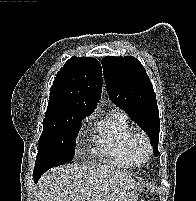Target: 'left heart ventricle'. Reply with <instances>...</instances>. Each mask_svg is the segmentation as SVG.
Wrapping results in <instances>:
<instances>
[{"label": "left heart ventricle", "instance_id": "left-heart-ventricle-1", "mask_svg": "<svg viewBox=\"0 0 196 201\" xmlns=\"http://www.w3.org/2000/svg\"><path fill=\"white\" fill-rule=\"evenodd\" d=\"M135 155L138 161H144L146 158V148L142 142H137L135 145Z\"/></svg>", "mask_w": 196, "mask_h": 201}]
</instances>
